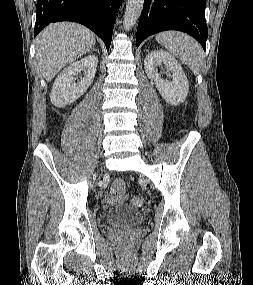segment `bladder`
<instances>
[{
    "instance_id": "1",
    "label": "bladder",
    "mask_w": 253,
    "mask_h": 285,
    "mask_svg": "<svg viewBox=\"0 0 253 285\" xmlns=\"http://www.w3.org/2000/svg\"><path fill=\"white\" fill-rule=\"evenodd\" d=\"M104 219L111 227H131L140 224L144 217L139 209L123 205L107 210Z\"/></svg>"
}]
</instances>
